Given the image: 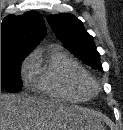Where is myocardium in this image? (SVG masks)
Masks as SVG:
<instances>
[{"instance_id": "myocardium-1", "label": "myocardium", "mask_w": 123, "mask_h": 130, "mask_svg": "<svg viewBox=\"0 0 123 130\" xmlns=\"http://www.w3.org/2000/svg\"><path fill=\"white\" fill-rule=\"evenodd\" d=\"M90 93H94L97 90L96 82L91 78L89 82Z\"/></svg>"}]
</instances>
